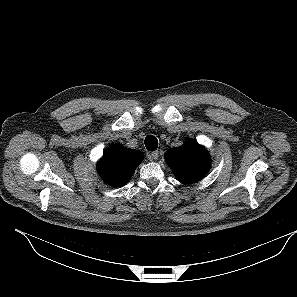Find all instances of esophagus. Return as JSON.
<instances>
[{
	"mask_svg": "<svg viewBox=\"0 0 297 297\" xmlns=\"http://www.w3.org/2000/svg\"><path fill=\"white\" fill-rule=\"evenodd\" d=\"M158 157H159V153H158V151H154V152H152L151 155H150V160H157Z\"/></svg>",
	"mask_w": 297,
	"mask_h": 297,
	"instance_id": "1",
	"label": "esophagus"
}]
</instances>
